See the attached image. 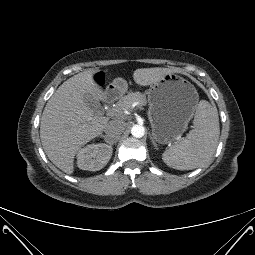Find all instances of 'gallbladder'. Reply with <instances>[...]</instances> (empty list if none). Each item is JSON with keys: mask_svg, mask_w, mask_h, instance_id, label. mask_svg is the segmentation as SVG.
<instances>
[{"mask_svg": "<svg viewBox=\"0 0 255 255\" xmlns=\"http://www.w3.org/2000/svg\"><path fill=\"white\" fill-rule=\"evenodd\" d=\"M84 102L86 104V106L94 109L97 105V101L90 95H86L84 98Z\"/></svg>", "mask_w": 255, "mask_h": 255, "instance_id": "obj_1", "label": "gallbladder"}]
</instances>
